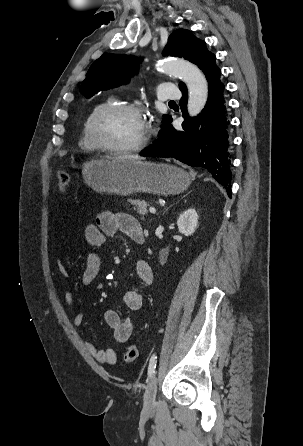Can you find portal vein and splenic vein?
<instances>
[{
  "instance_id": "18ae733b",
  "label": "portal vein and splenic vein",
  "mask_w": 303,
  "mask_h": 446,
  "mask_svg": "<svg viewBox=\"0 0 303 446\" xmlns=\"http://www.w3.org/2000/svg\"><path fill=\"white\" fill-rule=\"evenodd\" d=\"M150 213L155 214L156 213V209L154 207H150L149 208Z\"/></svg>"
}]
</instances>
